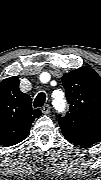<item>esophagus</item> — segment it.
<instances>
[{"label": "esophagus", "mask_w": 101, "mask_h": 180, "mask_svg": "<svg viewBox=\"0 0 101 180\" xmlns=\"http://www.w3.org/2000/svg\"><path fill=\"white\" fill-rule=\"evenodd\" d=\"M43 114H48L50 112V105L46 104L41 108Z\"/></svg>", "instance_id": "esophagus-1"}]
</instances>
